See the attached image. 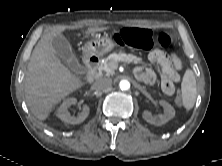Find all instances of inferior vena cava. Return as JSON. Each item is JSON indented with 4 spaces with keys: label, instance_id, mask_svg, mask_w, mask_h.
I'll list each match as a JSON object with an SVG mask.
<instances>
[{
    "label": "inferior vena cava",
    "instance_id": "obj_1",
    "mask_svg": "<svg viewBox=\"0 0 222 166\" xmlns=\"http://www.w3.org/2000/svg\"><path fill=\"white\" fill-rule=\"evenodd\" d=\"M95 87L97 89L109 90L112 87V80L110 78H100L96 80Z\"/></svg>",
    "mask_w": 222,
    "mask_h": 166
}]
</instances>
